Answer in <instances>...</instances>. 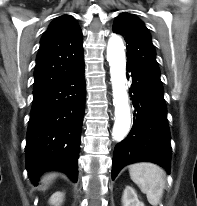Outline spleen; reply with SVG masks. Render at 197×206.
<instances>
[{
  "instance_id": "3e777b00",
  "label": "spleen",
  "mask_w": 197,
  "mask_h": 206,
  "mask_svg": "<svg viewBox=\"0 0 197 206\" xmlns=\"http://www.w3.org/2000/svg\"><path fill=\"white\" fill-rule=\"evenodd\" d=\"M131 180L146 194L148 202L157 206L163 196L165 173L158 165L149 162L129 166Z\"/></svg>"
}]
</instances>
